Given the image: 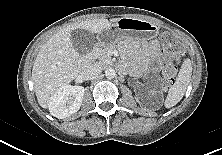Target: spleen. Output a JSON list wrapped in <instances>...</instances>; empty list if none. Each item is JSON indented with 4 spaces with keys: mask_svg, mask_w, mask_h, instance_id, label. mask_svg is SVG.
Wrapping results in <instances>:
<instances>
[{
    "mask_svg": "<svg viewBox=\"0 0 222 155\" xmlns=\"http://www.w3.org/2000/svg\"><path fill=\"white\" fill-rule=\"evenodd\" d=\"M191 75V61L187 59L183 62L174 85H172L168 91V95L164 104L166 108L175 106L183 98L190 83Z\"/></svg>",
    "mask_w": 222,
    "mask_h": 155,
    "instance_id": "obj_1",
    "label": "spleen"
}]
</instances>
